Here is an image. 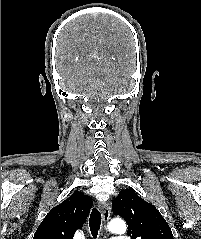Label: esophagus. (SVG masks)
I'll return each instance as SVG.
<instances>
[{"label": "esophagus", "mask_w": 201, "mask_h": 239, "mask_svg": "<svg viewBox=\"0 0 201 239\" xmlns=\"http://www.w3.org/2000/svg\"><path fill=\"white\" fill-rule=\"evenodd\" d=\"M99 208L102 212L103 221L106 224L110 219L111 206L109 202L99 204Z\"/></svg>", "instance_id": "esophagus-1"}]
</instances>
